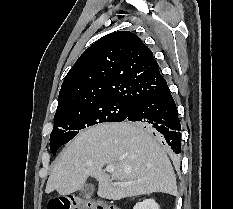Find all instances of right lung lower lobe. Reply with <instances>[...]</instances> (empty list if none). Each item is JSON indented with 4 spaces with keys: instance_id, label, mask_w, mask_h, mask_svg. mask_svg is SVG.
Returning <instances> with one entry per match:
<instances>
[{
    "instance_id": "1",
    "label": "right lung lower lobe",
    "mask_w": 233,
    "mask_h": 209,
    "mask_svg": "<svg viewBox=\"0 0 233 209\" xmlns=\"http://www.w3.org/2000/svg\"><path fill=\"white\" fill-rule=\"evenodd\" d=\"M125 120L143 123L149 126L154 134L161 133V137L173 151L176 154L181 153V125L175 101L167 85L138 101Z\"/></svg>"
}]
</instances>
